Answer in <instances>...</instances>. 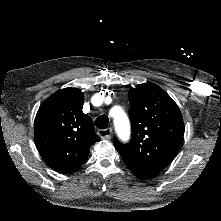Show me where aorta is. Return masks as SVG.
I'll return each instance as SVG.
<instances>
[{
  "label": "aorta",
  "instance_id": "aorta-1",
  "mask_svg": "<svg viewBox=\"0 0 221 221\" xmlns=\"http://www.w3.org/2000/svg\"><path fill=\"white\" fill-rule=\"evenodd\" d=\"M118 109V113L116 114L114 118V126L117 132L121 133H128L130 129L129 119L126 115V113L120 109Z\"/></svg>",
  "mask_w": 221,
  "mask_h": 221
}]
</instances>
